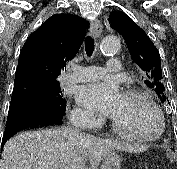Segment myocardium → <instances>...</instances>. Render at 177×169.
<instances>
[{"mask_svg": "<svg viewBox=\"0 0 177 169\" xmlns=\"http://www.w3.org/2000/svg\"><path fill=\"white\" fill-rule=\"evenodd\" d=\"M123 95L137 96L145 99L157 113L160 127L158 131L153 134H134L126 131L118 122H116L113 118H111V126L113 130L124 137L143 140V141H151L161 136L165 130V118L162 109L156 103L153 97L147 91L137 87L126 88L123 92Z\"/></svg>", "mask_w": 177, "mask_h": 169, "instance_id": "f54148a6", "label": "myocardium"}]
</instances>
